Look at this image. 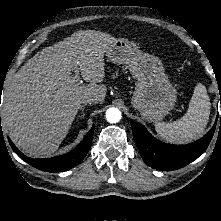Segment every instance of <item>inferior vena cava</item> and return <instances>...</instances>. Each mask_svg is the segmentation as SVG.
<instances>
[{
  "instance_id": "602c4592",
  "label": "inferior vena cava",
  "mask_w": 221,
  "mask_h": 221,
  "mask_svg": "<svg viewBox=\"0 0 221 221\" xmlns=\"http://www.w3.org/2000/svg\"><path fill=\"white\" fill-rule=\"evenodd\" d=\"M83 104H91V103H96V100L95 99H85L82 101Z\"/></svg>"
}]
</instances>
